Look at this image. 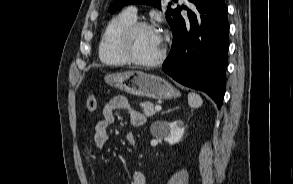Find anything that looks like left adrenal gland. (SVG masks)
I'll list each match as a JSON object with an SVG mask.
<instances>
[{
  "instance_id": "left-adrenal-gland-1",
  "label": "left adrenal gland",
  "mask_w": 293,
  "mask_h": 184,
  "mask_svg": "<svg viewBox=\"0 0 293 184\" xmlns=\"http://www.w3.org/2000/svg\"><path fill=\"white\" fill-rule=\"evenodd\" d=\"M179 109V107H174L173 109L168 110L167 112H171L173 110Z\"/></svg>"
}]
</instances>
